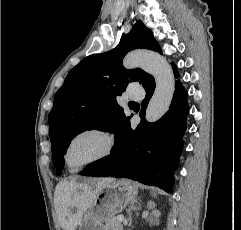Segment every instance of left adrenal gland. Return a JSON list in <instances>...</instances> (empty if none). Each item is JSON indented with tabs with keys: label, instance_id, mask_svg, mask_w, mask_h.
Wrapping results in <instances>:
<instances>
[{
	"label": "left adrenal gland",
	"instance_id": "1",
	"mask_svg": "<svg viewBox=\"0 0 241 230\" xmlns=\"http://www.w3.org/2000/svg\"><path fill=\"white\" fill-rule=\"evenodd\" d=\"M137 199L132 203V205L130 206V208L128 209V220H127V222H128V225L130 226L131 224H132V218H131V211L132 210H138V209H140V205H138V206H135V204H137Z\"/></svg>",
	"mask_w": 241,
	"mask_h": 230
}]
</instances>
